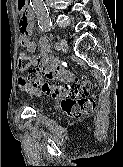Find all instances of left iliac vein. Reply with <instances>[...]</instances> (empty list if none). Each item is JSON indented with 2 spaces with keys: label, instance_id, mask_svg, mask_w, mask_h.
I'll list each match as a JSON object with an SVG mask.
<instances>
[{
  "label": "left iliac vein",
  "instance_id": "1",
  "mask_svg": "<svg viewBox=\"0 0 123 167\" xmlns=\"http://www.w3.org/2000/svg\"><path fill=\"white\" fill-rule=\"evenodd\" d=\"M59 44H60V48L62 51L66 52L68 50V44H67V41L65 39H61L59 41Z\"/></svg>",
  "mask_w": 123,
  "mask_h": 167
}]
</instances>
